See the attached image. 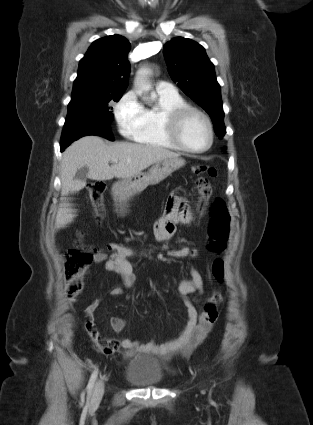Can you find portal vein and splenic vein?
Instances as JSON below:
<instances>
[{
  "mask_svg": "<svg viewBox=\"0 0 313 425\" xmlns=\"http://www.w3.org/2000/svg\"><path fill=\"white\" fill-rule=\"evenodd\" d=\"M112 162L113 163H118V160L117 159H112Z\"/></svg>",
  "mask_w": 313,
  "mask_h": 425,
  "instance_id": "portal-vein-and-splenic-vein-1",
  "label": "portal vein and splenic vein"
}]
</instances>
